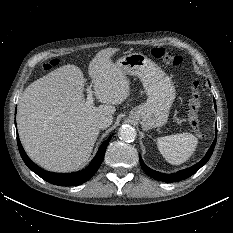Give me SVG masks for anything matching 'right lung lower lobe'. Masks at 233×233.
Wrapping results in <instances>:
<instances>
[{
	"instance_id": "obj_1",
	"label": "right lung lower lobe",
	"mask_w": 233,
	"mask_h": 233,
	"mask_svg": "<svg viewBox=\"0 0 233 233\" xmlns=\"http://www.w3.org/2000/svg\"><path fill=\"white\" fill-rule=\"evenodd\" d=\"M110 138L111 137H109V139ZM108 143L109 140H106L105 142L102 143L96 156L94 157V159L91 161L90 165L86 169L80 172L70 173V174L51 173L41 169L30 160V158L25 153L17 135V144H18L19 152L25 164L45 181L59 186H75V185H80L86 182L87 180H89L100 167L104 159V155Z\"/></svg>"
}]
</instances>
